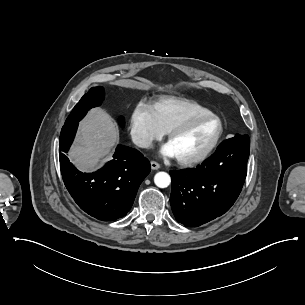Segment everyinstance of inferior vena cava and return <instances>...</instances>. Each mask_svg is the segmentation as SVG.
<instances>
[{"mask_svg": "<svg viewBox=\"0 0 305 305\" xmlns=\"http://www.w3.org/2000/svg\"><path fill=\"white\" fill-rule=\"evenodd\" d=\"M132 140L135 145L141 148H148L151 145V140L149 137H142L136 133L132 135Z\"/></svg>", "mask_w": 305, "mask_h": 305, "instance_id": "1", "label": "inferior vena cava"}]
</instances>
